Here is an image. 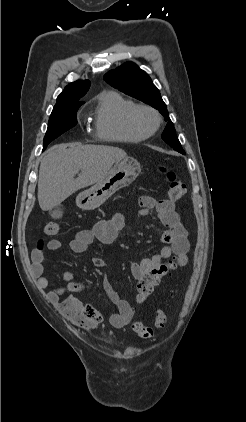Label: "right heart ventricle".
<instances>
[{
	"instance_id": "right-heart-ventricle-1",
	"label": "right heart ventricle",
	"mask_w": 246,
	"mask_h": 422,
	"mask_svg": "<svg viewBox=\"0 0 246 422\" xmlns=\"http://www.w3.org/2000/svg\"><path fill=\"white\" fill-rule=\"evenodd\" d=\"M136 103L116 91H107L98 97L94 110V131L102 140L113 142H141L147 137L136 131L130 122V113Z\"/></svg>"
}]
</instances>
